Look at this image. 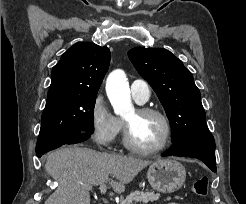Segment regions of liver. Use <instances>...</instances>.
<instances>
[{"mask_svg":"<svg viewBox=\"0 0 246 204\" xmlns=\"http://www.w3.org/2000/svg\"><path fill=\"white\" fill-rule=\"evenodd\" d=\"M150 164L152 161L84 147L60 148L48 155L45 164L46 172L59 184L45 204H90L87 186L101 183H109L115 192L122 193Z\"/></svg>","mask_w":246,"mask_h":204,"instance_id":"obj_1","label":"liver"}]
</instances>
